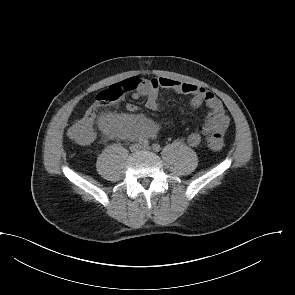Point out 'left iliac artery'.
Returning a JSON list of instances; mask_svg holds the SVG:
<instances>
[{
    "mask_svg": "<svg viewBox=\"0 0 295 295\" xmlns=\"http://www.w3.org/2000/svg\"><path fill=\"white\" fill-rule=\"evenodd\" d=\"M152 149L155 151V152H159L161 150V147L158 143H154L152 145Z\"/></svg>",
    "mask_w": 295,
    "mask_h": 295,
    "instance_id": "left-iliac-artery-1",
    "label": "left iliac artery"
}]
</instances>
